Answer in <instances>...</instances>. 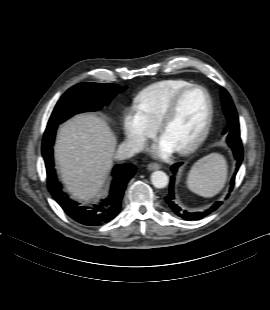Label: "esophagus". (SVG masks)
Returning <instances> with one entry per match:
<instances>
[{
    "instance_id": "34e87169",
    "label": "esophagus",
    "mask_w": 270,
    "mask_h": 310,
    "mask_svg": "<svg viewBox=\"0 0 270 310\" xmlns=\"http://www.w3.org/2000/svg\"><path fill=\"white\" fill-rule=\"evenodd\" d=\"M147 168L150 171L158 170V169H160V165L157 163H150V164H148Z\"/></svg>"
}]
</instances>
